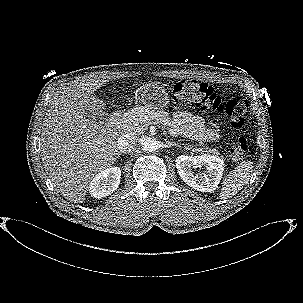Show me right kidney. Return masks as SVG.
I'll return each mask as SVG.
<instances>
[{
    "mask_svg": "<svg viewBox=\"0 0 303 303\" xmlns=\"http://www.w3.org/2000/svg\"><path fill=\"white\" fill-rule=\"evenodd\" d=\"M121 178L119 167H110L96 174L89 184V192L94 198H102L114 192Z\"/></svg>",
    "mask_w": 303,
    "mask_h": 303,
    "instance_id": "1",
    "label": "right kidney"
}]
</instances>
